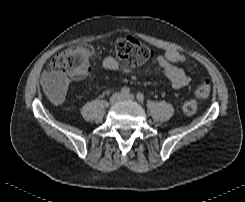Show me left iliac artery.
Listing matches in <instances>:
<instances>
[{
    "instance_id": "44dca946",
    "label": "left iliac artery",
    "mask_w": 245,
    "mask_h": 202,
    "mask_svg": "<svg viewBox=\"0 0 245 202\" xmlns=\"http://www.w3.org/2000/svg\"><path fill=\"white\" fill-rule=\"evenodd\" d=\"M137 99H138V101H140V102H143L144 101V95L142 94V93H138L137 94Z\"/></svg>"
}]
</instances>
